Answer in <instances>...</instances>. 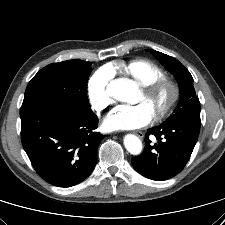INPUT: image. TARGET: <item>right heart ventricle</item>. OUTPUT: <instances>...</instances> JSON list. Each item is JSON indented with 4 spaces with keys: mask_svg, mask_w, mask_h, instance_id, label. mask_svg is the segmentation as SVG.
Wrapping results in <instances>:
<instances>
[{
    "mask_svg": "<svg viewBox=\"0 0 225 225\" xmlns=\"http://www.w3.org/2000/svg\"><path fill=\"white\" fill-rule=\"evenodd\" d=\"M112 71L113 67H109ZM126 75L134 79L140 85L150 83L164 77L161 67L147 59H134L117 66Z\"/></svg>",
    "mask_w": 225,
    "mask_h": 225,
    "instance_id": "right-heart-ventricle-1",
    "label": "right heart ventricle"
}]
</instances>
